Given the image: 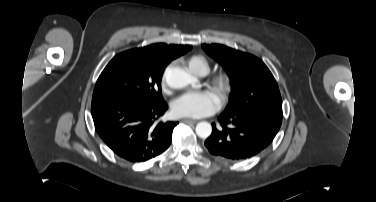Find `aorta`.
I'll return each instance as SVG.
<instances>
[{"instance_id":"762f6f07","label":"aorta","mask_w":376,"mask_h":202,"mask_svg":"<svg viewBox=\"0 0 376 202\" xmlns=\"http://www.w3.org/2000/svg\"><path fill=\"white\" fill-rule=\"evenodd\" d=\"M165 79L168 86L174 89H182L196 82V78L194 76L178 67L169 69L166 73ZM211 132L212 126L208 122L203 121L196 125V134L200 138L209 137Z\"/></svg>"}]
</instances>
